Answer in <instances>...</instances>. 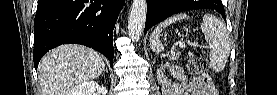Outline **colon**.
<instances>
[{
  "label": "colon",
  "mask_w": 277,
  "mask_h": 95,
  "mask_svg": "<svg viewBox=\"0 0 277 95\" xmlns=\"http://www.w3.org/2000/svg\"><path fill=\"white\" fill-rule=\"evenodd\" d=\"M209 68L208 59L200 52H195L188 63V70L192 74H203Z\"/></svg>",
  "instance_id": "colon-1"
}]
</instances>
